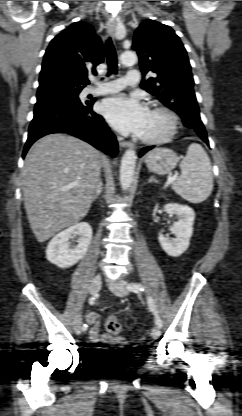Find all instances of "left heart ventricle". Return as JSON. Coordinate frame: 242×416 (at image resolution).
Masks as SVG:
<instances>
[{"mask_svg": "<svg viewBox=\"0 0 242 416\" xmlns=\"http://www.w3.org/2000/svg\"><path fill=\"white\" fill-rule=\"evenodd\" d=\"M167 117L156 111H148L140 137H156L163 134L167 128Z\"/></svg>", "mask_w": 242, "mask_h": 416, "instance_id": "b2bd125f", "label": "left heart ventricle"}]
</instances>
